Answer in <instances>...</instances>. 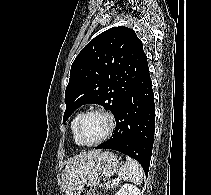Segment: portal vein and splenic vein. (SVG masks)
Returning <instances> with one entry per match:
<instances>
[{"label":"portal vein and splenic vein","mask_w":211,"mask_h":195,"mask_svg":"<svg viewBox=\"0 0 211 195\" xmlns=\"http://www.w3.org/2000/svg\"><path fill=\"white\" fill-rule=\"evenodd\" d=\"M119 180H120L119 178L113 179L112 184L115 185Z\"/></svg>","instance_id":"1"}]
</instances>
